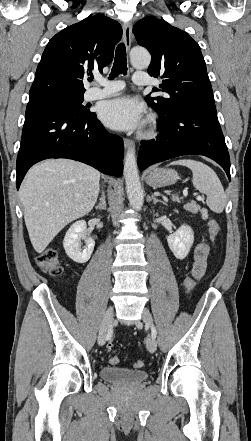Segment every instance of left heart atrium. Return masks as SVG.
Listing matches in <instances>:
<instances>
[{
  "label": "left heart atrium",
  "mask_w": 251,
  "mask_h": 441,
  "mask_svg": "<svg viewBox=\"0 0 251 441\" xmlns=\"http://www.w3.org/2000/svg\"><path fill=\"white\" fill-rule=\"evenodd\" d=\"M100 119L118 130L140 128L144 121V107L136 99L121 96L103 102L99 108Z\"/></svg>",
  "instance_id": "1"
}]
</instances>
